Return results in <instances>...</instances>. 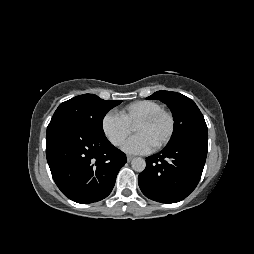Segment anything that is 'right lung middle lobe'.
<instances>
[{
    "label": "right lung middle lobe",
    "mask_w": 254,
    "mask_h": 254,
    "mask_svg": "<svg viewBox=\"0 0 254 254\" xmlns=\"http://www.w3.org/2000/svg\"><path fill=\"white\" fill-rule=\"evenodd\" d=\"M121 100L106 101L94 94L76 96L59 105L50 123L67 121L93 132L104 134L102 122L106 113Z\"/></svg>",
    "instance_id": "1"
}]
</instances>
